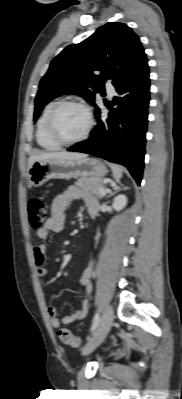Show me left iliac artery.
I'll list each match as a JSON object with an SVG mask.
<instances>
[{
  "label": "left iliac artery",
  "mask_w": 182,
  "mask_h": 399,
  "mask_svg": "<svg viewBox=\"0 0 182 399\" xmlns=\"http://www.w3.org/2000/svg\"><path fill=\"white\" fill-rule=\"evenodd\" d=\"M99 321H100L99 313H96L94 318H93V323H92V327H91L92 331L97 328V326L99 325Z\"/></svg>",
  "instance_id": "1"
}]
</instances>
